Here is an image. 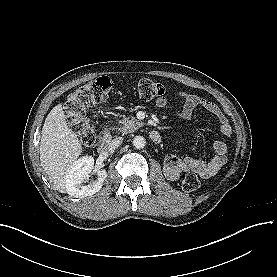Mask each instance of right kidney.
<instances>
[{
  "label": "right kidney",
  "instance_id": "ca27d5eb",
  "mask_svg": "<svg viewBox=\"0 0 277 277\" xmlns=\"http://www.w3.org/2000/svg\"><path fill=\"white\" fill-rule=\"evenodd\" d=\"M93 169L94 158L91 156H86L79 159L69 171L68 182L72 189L75 190L77 196H91L101 189L104 178L107 175L104 169L102 171H99L98 183L83 186V183H86L87 179L90 176L89 174L92 172Z\"/></svg>",
  "mask_w": 277,
  "mask_h": 277
}]
</instances>
